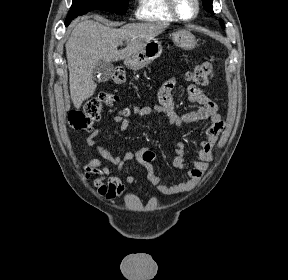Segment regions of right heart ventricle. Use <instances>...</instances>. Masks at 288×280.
Masks as SVG:
<instances>
[{
	"mask_svg": "<svg viewBox=\"0 0 288 280\" xmlns=\"http://www.w3.org/2000/svg\"><path fill=\"white\" fill-rule=\"evenodd\" d=\"M135 15L138 19L151 22H174L167 0H138Z\"/></svg>",
	"mask_w": 288,
	"mask_h": 280,
	"instance_id": "1",
	"label": "right heart ventricle"
}]
</instances>
